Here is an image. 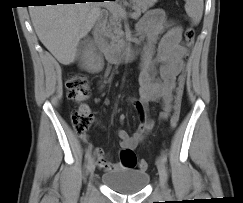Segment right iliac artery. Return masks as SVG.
I'll return each instance as SVG.
<instances>
[{
    "instance_id": "obj_1",
    "label": "right iliac artery",
    "mask_w": 243,
    "mask_h": 203,
    "mask_svg": "<svg viewBox=\"0 0 243 203\" xmlns=\"http://www.w3.org/2000/svg\"><path fill=\"white\" fill-rule=\"evenodd\" d=\"M90 157H91V148H88V149L86 150L85 158H86V159H89Z\"/></svg>"
}]
</instances>
